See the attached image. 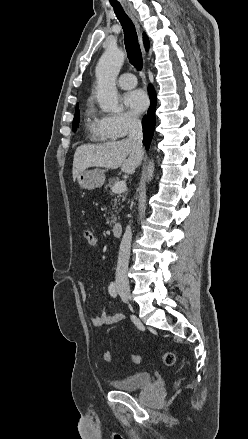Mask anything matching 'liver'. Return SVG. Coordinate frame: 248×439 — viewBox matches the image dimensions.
<instances>
[{
  "label": "liver",
  "instance_id": "1",
  "mask_svg": "<svg viewBox=\"0 0 248 439\" xmlns=\"http://www.w3.org/2000/svg\"><path fill=\"white\" fill-rule=\"evenodd\" d=\"M143 153L128 139L104 144H84L77 147L73 160V180L90 167L117 169L133 174L140 165Z\"/></svg>",
  "mask_w": 248,
  "mask_h": 439
}]
</instances>
